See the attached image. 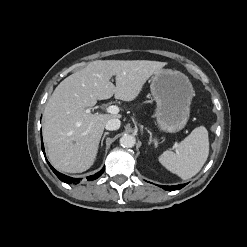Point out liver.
<instances>
[{"mask_svg":"<svg viewBox=\"0 0 247 247\" xmlns=\"http://www.w3.org/2000/svg\"><path fill=\"white\" fill-rule=\"evenodd\" d=\"M166 62L97 60L65 78L44 110L43 139L51 164L59 171L80 173L95 162L108 120L118 114L87 113L98 100H134L145 82ZM116 78V86L110 82Z\"/></svg>","mask_w":247,"mask_h":247,"instance_id":"liver-1","label":"liver"}]
</instances>
